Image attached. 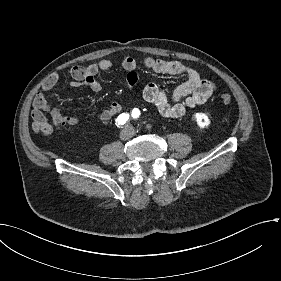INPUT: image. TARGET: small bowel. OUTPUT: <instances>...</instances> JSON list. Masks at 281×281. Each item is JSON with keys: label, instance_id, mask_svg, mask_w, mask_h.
<instances>
[{"label": "small bowel", "instance_id": "1", "mask_svg": "<svg viewBox=\"0 0 281 281\" xmlns=\"http://www.w3.org/2000/svg\"><path fill=\"white\" fill-rule=\"evenodd\" d=\"M148 70L159 74L182 75L185 82L176 88L171 98H169L162 89L156 84H147L142 96L146 102L151 104L160 115L166 118L177 119L183 117L188 110L197 105L206 102L216 90V84L202 78L198 71L186 66L176 60H161L148 57L143 62ZM115 66V62L109 59H103L99 62L91 63L87 66H73L70 70L72 81L71 87H88L91 91L98 93L102 86L96 80L99 73H106ZM119 66L127 72V84L130 88L136 86L138 82L137 61L132 57H125L119 62ZM58 75L52 74L46 78L42 90L37 93L33 101L31 117L33 120V129L37 133L52 135L56 130L75 125L79 118L67 116L61 113L56 107H51L45 94L50 92L58 82ZM122 110L119 102L113 101L101 115L100 120L107 122L118 115ZM50 112L52 122L48 121L45 113Z\"/></svg>", "mask_w": 281, "mask_h": 281}]
</instances>
